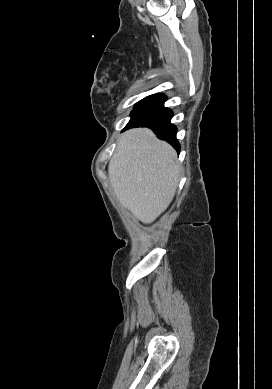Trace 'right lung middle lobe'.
Here are the masks:
<instances>
[{
	"label": "right lung middle lobe",
	"mask_w": 272,
	"mask_h": 389,
	"mask_svg": "<svg viewBox=\"0 0 272 389\" xmlns=\"http://www.w3.org/2000/svg\"><path fill=\"white\" fill-rule=\"evenodd\" d=\"M148 97H150V96H148ZM148 97H146V98H144V99H142L141 101H139L137 104H136V106H138L140 103H142L144 100H146Z\"/></svg>",
	"instance_id": "1"
}]
</instances>
